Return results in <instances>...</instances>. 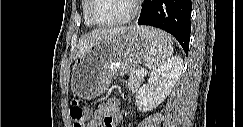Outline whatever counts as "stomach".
I'll use <instances>...</instances> for the list:
<instances>
[{
  "instance_id": "obj_1",
  "label": "stomach",
  "mask_w": 243,
  "mask_h": 127,
  "mask_svg": "<svg viewBox=\"0 0 243 127\" xmlns=\"http://www.w3.org/2000/svg\"><path fill=\"white\" fill-rule=\"evenodd\" d=\"M133 26L97 41L72 67L71 88L83 99H94L103 93L115 74L124 75L139 67L151 50L143 30Z\"/></svg>"
}]
</instances>
